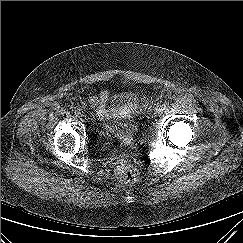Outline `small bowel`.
<instances>
[{"label":"small bowel","mask_w":243,"mask_h":243,"mask_svg":"<svg viewBox=\"0 0 243 243\" xmlns=\"http://www.w3.org/2000/svg\"><path fill=\"white\" fill-rule=\"evenodd\" d=\"M88 104L95 110L96 116L102 121H113V129L127 128L121 121L131 118L139 108L138 98L131 93L111 94L102 90L98 95L91 96Z\"/></svg>","instance_id":"1"}]
</instances>
